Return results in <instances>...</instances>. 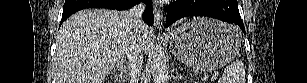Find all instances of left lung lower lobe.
Listing matches in <instances>:
<instances>
[{
    "label": "left lung lower lobe",
    "mask_w": 307,
    "mask_h": 83,
    "mask_svg": "<svg viewBox=\"0 0 307 83\" xmlns=\"http://www.w3.org/2000/svg\"><path fill=\"white\" fill-rule=\"evenodd\" d=\"M189 16H206L236 23L245 32L237 0H177L168 6L167 25Z\"/></svg>",
    "instance_id": "left-lung-lower-lobe-1"
}]
</instances>
